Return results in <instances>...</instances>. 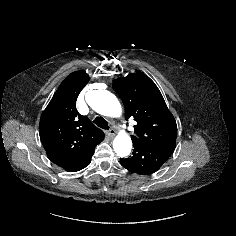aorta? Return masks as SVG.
Instances as JSON below:
<instances>
[{
  "label": "aorta",
  "instance_id": "aorta-1",
  "mask_svg": "<svg viewBox=\"0 0 236 236\" xmlns=\"http://www.w3.org/2000/svg\"><path fill=\"white\" fill-rule=\"evenodd\" d=\"M86 97V101L92 109L101 115L119 117L122 113V108L118 99L109 91H89L86 94ZM113 149L119 157L128 156L132 149L130 136L123 132L118 134L113 141Z\"/></svg>",
  "mask_w": 236,
  "mask_h": 236
}]
</instances>
